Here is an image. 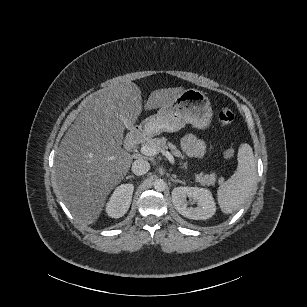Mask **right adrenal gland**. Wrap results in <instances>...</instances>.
Returning a JSON list of instances; mask_svg holds the SVG:
<instances>
[{
	"mask_svg": "<svg viewBox=\"0 0 307 307\" xmlns=\"http://www.w3.org/2000/svg\"><path fill=\"white\" fill-rule=\"evenodd\" d=\"M132 177V175L131 174H129V175H127L126 176V178L128 179V178H131Z\"/></svg>",
	"mask_w": 307,
	"mask_h": 307,
	"instance_id": "2a0ac1e0",
	"label": "right adrenal gland"
}]
</instances>
